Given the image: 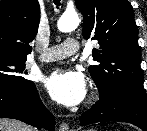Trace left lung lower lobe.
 Masks as SVG:
<instances>
[{"instance_id":"1","label":"left lung lower lobe","mask_w":147,"mask_h":131,"mask_svg":"<svg viewBox=\"0 0 147 131\" xmlns=\"http://www.w3.org/2000/svg\"><path fill=\"white\" fill-rule=\"evenodd\" d=\"M104 121L131 123L147 131V97L136 93L123 92L96 104L80 117V125Z\"/></svg>"}]
</instances>
